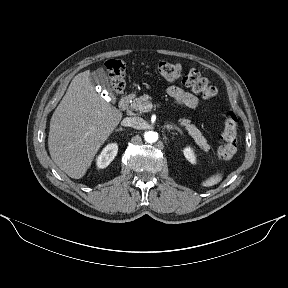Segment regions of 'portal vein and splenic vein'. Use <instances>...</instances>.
<instances>
[{"instance_id":"obj_1","label":"portal vein and splenic vein","mask_w":288,"mask_h":288,"mask_svg":"<svg viewBox=\"0 0 288 288\" xmlns=\"http://www.w3.org/2000/svg\"><path fill=\"white\" fill-rule=\"evenodd\" d=\"M152 107L153 105L150 103V104L143 106L142 109L144 110V112H148L152 109Z\"/></svg>"}]
</instances>
